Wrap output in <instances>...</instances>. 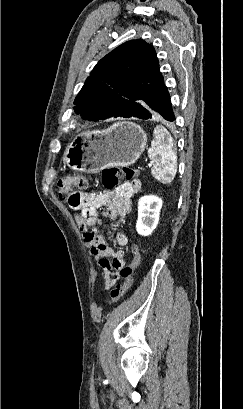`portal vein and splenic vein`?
<instances>
[{
    "mask_svg": "<svg viewBox=\"0 0 243 409\" xmlns=\"http://www.w3.org/2000/svg\"><path fill=\"white\" fill-rule=\"evenodd\" d=\"M148 166H149V167H151V166H152V162H151V163H149V164H148Z\"/></svg>",
    "mask_w": 243,
    "mask_h": 409,
    "instance_id": "18ae733b",
    "label": "portal vein and splenic vein"
}]
</instances>
